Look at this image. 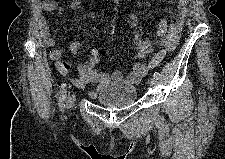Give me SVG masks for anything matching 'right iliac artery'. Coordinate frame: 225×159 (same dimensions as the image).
Segmentation results:
<instances>
[{
    "mask_svg": "<svg viewBox=\"0 0 225 159\" xmlns=\"http://www.w3.org/2000/svg\"><path fill=\"white\" fill-rule=\"evenodd\" d=\"M65 99H66V89H63L61 91V95L59 98V108L61 109V111H63V109L65 107Z\"/></svg>",
    "mask_w": 225,
    "mask_h": 159,
    "instance_id": "82829eb1",
    "label": "right iliac artery"
}]
</instances>
